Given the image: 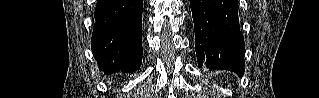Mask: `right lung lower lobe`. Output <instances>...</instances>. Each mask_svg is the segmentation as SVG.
I'll use <instances>...</instances> for the list:
<instances>
[{"mask_svg": "<svg viewBox=\"0 0 319 98\" xmlns=\"http://www.w3.org/2000/svg\"><path fill=\"white\" fill-rule=\"evenodd\" d=\"M142 9L143 0H97L91 48L104 73L139 70Z\"/></svg>", "mask_w": 319, "mask_h": 98, "instance_id": "1", "label": "right lung lower lobe"}]
</instances>
